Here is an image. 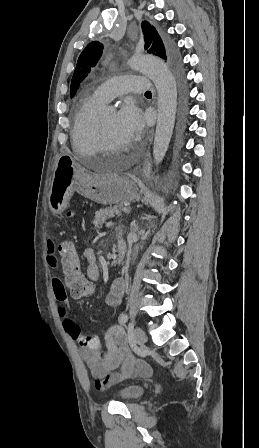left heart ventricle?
Listing matches in <instances>:
<instances>
[{"label": "left heart ventricle", "instance_id": "left-heart-ventricle-1", "mask_svg": "<svg viewBox=\"0 0 259 448\" xmlns=\"http://www.w3.org/2000/svg\"><path fill=\"white\" fill-rule=\"evenodd\" d=\"M104 122V125L107 130L108 137L111 143L116 146L118 149L121 148L125 144V133L121 130V128L117 124V114L116 113H108L100 116ZM83 157H87L90 155H94L97 152L95 150H82L76 151Z\"/></svg>", "mask_w": 259, "mask_h": 448}]
</instances>
